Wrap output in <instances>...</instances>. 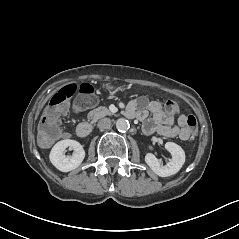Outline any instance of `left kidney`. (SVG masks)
<instances>
[{"mask_svg":"<svg viewBox=\"0 0 239 239\" xmlns=\"http://www.w3.org/2000/svg\"><path fill=\"white\" fill-rule=\"evenodd\" d=\"M165 148L171 153L172 159L164 166L161 165L154 154L147 153L145 156L147 165L155 174L161 177L176 174L185 163V152L179 145L174 142H167Z\"/></svg>","mask_w":239,"mask_h":239,"instance_id":"left-kidney-1","label":"left kidney"}]
</instances>
